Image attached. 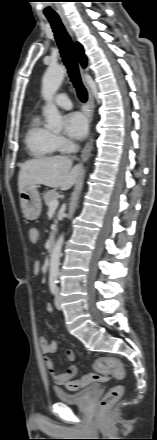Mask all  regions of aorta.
Instances as JSON below:
<instances>
[{
	"label": "aorta",
	"mask_w": 157,
	"mask_h": 440,
	"mask_svg": "<svg viewBox=\"0 0 157 440\" xmlns=\"http://www.w3.org/2000/svg\"><path fill=\"white\" fill-rule=\"evenodd\" d=\"M65 73L66 69L64 66H49L42 80V96L47 103L45 110L47 128L53 131H60L62 129V116L53 103V98L64 79ZM63 242L64 236L61 235L50 255L49 279L53 282L58 278Z\"/></svg>",
	"instance_id": "aorta-1"
}]
</instances>
